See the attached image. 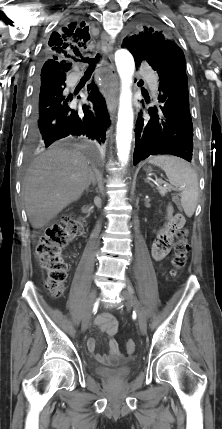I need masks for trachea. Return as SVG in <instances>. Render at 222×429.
Here are the masks:
<instances>
[{"label":"trachea","mask_w":222,"mask_h":429,"mask_svg":"<svg viewBox=\"0 0 222 429\" xmlns=\"http://www.w3.org/2000/svg\"><path fill=\"white\" fill-rule=\"evenodd\" d=\"M99 55H97L94 59L93 58H82V62L88 63L89 67L87 68L86 72H92L95 68L96 62L98 61Z\"/></svg>","instance_id":"trachea-1"}]
</instances>
